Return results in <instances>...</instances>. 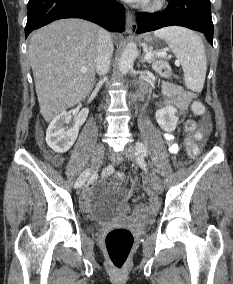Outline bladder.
Instances as JSON below:
<instances>
[{"instance_id":"31cf9c89","label":"bladder","mask_w":233,"mask_h":284,"mask_svg":"<svg viewBox=\"0 0 233 284\" xmlns=\"http://www.w3.org/2000/svg\"><path fill=\"white\" fill-rule=\"evenodd\" d=\"M128 196L129 191L124 185L114 181H102L85 193V200L97 206L109 207L123 202ZM97 228L94 223L89 225L91 231Z\"/></svg>"}]
</instances>
